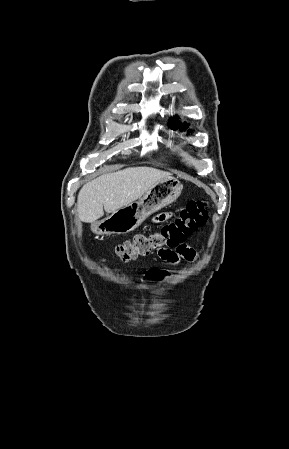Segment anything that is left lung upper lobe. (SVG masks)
Wrapping results in <instances>:
<instances>
[{"instance_id": "left-lung-upper-lobe-1", "label": "left lung upper lobe", "mask_w": 289, "mask_h": 449, "mask_svg": "<svg viewBox=\"0 0 289 449\" xmlns=\"http://www.w3.org/2000/svg\"><path fill=\"white\" fill-rule=\"evenodd\" d=\"M169 126H170L171 128H173V129L183 127V126H181V123H180V121H179L178 116H175V117L170 118ZM188 126H189V125H185V124H184L183 130L186 129V128H188Z\"/></svg>"}]
</instances>
